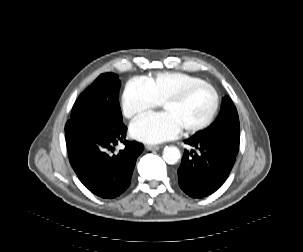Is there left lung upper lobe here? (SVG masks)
<instances>
[{
	"label": "left lung upper lobe",
	"mask_w": 303,
	"mask_h": 252,
	"mask_svg": "<svg viewBox=\"0 0 303 252\" xmlns=\"http://www.w3.org/2000/svg\"><path fill=\"white\" fill-rule=\"evenodd\" d=\"M229 100V98L226 97ZM222 103L221 111L213 123V129L205 130L204 135L196 134L193 139H204L210 142H216L224 145L239 146L240 127L237 110L232 102Z\"/></svg>",
	"instance_id": "5c2ea615"
}]
</instances>
